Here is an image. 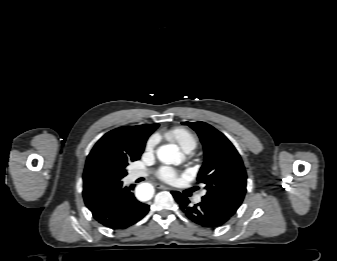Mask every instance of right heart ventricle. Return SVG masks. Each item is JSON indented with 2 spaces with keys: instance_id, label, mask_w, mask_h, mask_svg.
Instances as JSON below:
<instances>
[{
  "instance_id": "obj_1",
  "label": "right heart ventricle",
  "mask_w": 337,
  "mask_h": 261,
  "mask_svg": "<svg viewBox=\"0 0 337 261\" xmlns=\"http://www.w3.org/2000/svg\"><path fill=\"white\" fill-rule=\"evenodd\" d=\"M166 137L176 142L184 151H192L196 145V137L186 128L174 127L166 132Z\"/></svg>"
}]
</instances>
